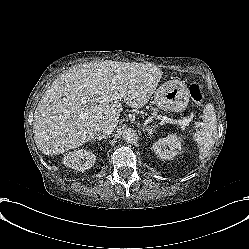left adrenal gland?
Returning a JSON list of instances; mask_svg holds the SVG:
<instances>
[{
    "mask_svg": "<svg viewBox=\"0 0 249 249\" xmlns=\"http://www.w3.org/2000/svg\"><path fill=\"white\" fill-rule=\"evenodd\" d=\"M156 128H157L156 126L149 127L146 124H144L142 126V130L146 131L148 133V135H152L154 133V131H155Z\"/></svg>",
    "mask_w": 249,
    "mask_h": 249,
    "instance_id": "1",
    "label": "left adrenal gland"
}]
</instances>
